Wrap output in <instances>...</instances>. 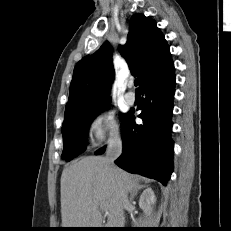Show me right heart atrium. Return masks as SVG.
Listing matches in <instances>:
<instances>
[{"instance_id":"d8ad5b80","label":"right heart atrium","mask_w":231,"mask_h":231,"mask_svg":"<svg viewBox=\"0 0 231 231\" xmlns=\"http://www.w3.org/2000/svg\"><path fill=\"white\" fill-rule=\"evenodd\" d=\"M87 136L94 145L107 140H118L120 132L114 113L109 110L97 112L88 123Z\"/></svg>"}]
</instances>
